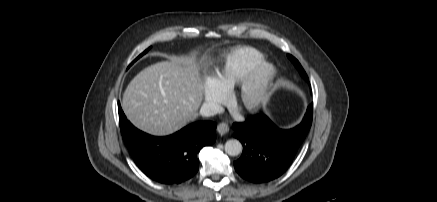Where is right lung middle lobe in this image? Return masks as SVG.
I'll return each mask as SVG.
<instances>
[{
  "label": "right lung middle lobe",
  "mask_w": 437,
  "mask_h": 202,
  "mask_svg": "<svg viewBox=\"0 0 437 202\" xmlns=\"http://www.w3.org/2000/svg\"><path fill=\"white\" fill-rule=\"evenodd\" d=\"M150 48H148L147 50H145L142 54H140L133 62H135L137 59H139L141 56H143L145 53L148 52Z\"/></svg>",
  "instance_id": "dd1d6c3e"
}]
</instances>
